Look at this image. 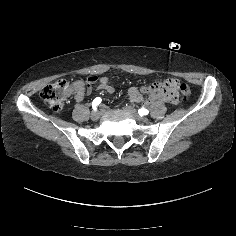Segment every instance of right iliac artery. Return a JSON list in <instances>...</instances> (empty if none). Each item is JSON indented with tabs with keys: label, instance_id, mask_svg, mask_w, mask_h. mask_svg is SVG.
I'll return each instance as SVG.
<instances>
[{
	"label": "right iliac artery",
	"instance_id": "82829eb1",
	"mask_svg": "<svg viewBox=\"0 0 236 236\" xmlns=\"http://www.w3.org/2000/svg\"><path fill=\"white\" fill-rule=\"evenodd\" d=\"M102 99L100 97H97L92 102V107L94 110H97V106L101 103Z\"/></svg>",
	"mask_w": 236,
	"mask_h": 236
}]
</instances>
